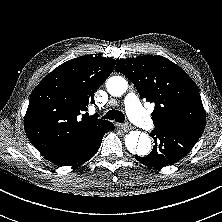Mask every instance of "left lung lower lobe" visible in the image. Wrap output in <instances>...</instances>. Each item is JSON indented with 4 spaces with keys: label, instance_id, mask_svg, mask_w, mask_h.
Here are the masks:
<instances>
[{
    "label": "left lung lower lobe",
    "instance_id": "0a47b994",
    "mask_svg": "<svg viewBox=\"0 0 222 222\" xmlns=\"http://www.w3.org/2000/svg\"><path fill=\"white\" fill-rule=\"evenodd\" d=\"M155 145L145 157L135 158L148 167L162 168L177 163L193 148L200 136L197 133L170 127H155L150 134Z\"/></svg>",
    "mask_w": 222,
    "mask_h": 222
}]
</instances>
